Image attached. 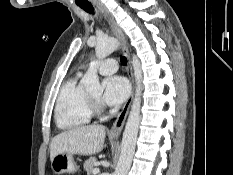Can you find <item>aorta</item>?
<instances>
[{
    "instance_id": "obj_1",
    "label": "aorta",
    "mask_w": 233,
    "mask_h": 175,
    "mask_svg": "<svg viewBox=\"0 0 233 175\" xmlns=\"http://www.w3.org/2000/svg\"><path fill=\"white\" fill-rule=\"evenodd\" d=\"M119 47L118 40L108 38L99 40L95 48V54L98 59H104ZM132 64L136 82L135 96L131 106V110L123 132L121 154L113 175H127L137 141L139 123H140V108L142 95V71L140 62L135 55L132 57ZM84 88L88 92L101 91L100 81L96 67H89L88 71L81 80Z\"/></svg>"
}]
</instances>
